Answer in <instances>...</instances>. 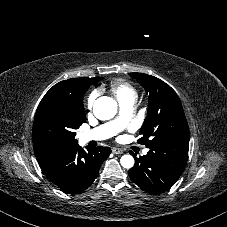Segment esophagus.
Wrapping results in <instances>:
<instances>
[{
    "instance_id": "esophagus-1",
    "label": "esophagus",
    "mask_w": 227,
    "mask_h": 227,
    "mask_svg": "<svg viewBox=\"0 0 227 227\" xmlns=\"http://www.w3.org/2000/svg\"><path fill=\"white\" fill-rule=\"evenodd\" d=\"M112 152L114 154H123L124 153V151L122 149H120V148H113Z\"/></svg>"
}]
</instances>
